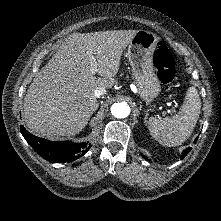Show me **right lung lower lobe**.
I'll use <instances>...</instances> for the list:
<instances>
[{"mask_svg": "<svg viewBox=\"0 0 221 221\" xmlns=\"http://www.w3.org/2000/svg\"><path fill=\"white\" fill-rule=\"evenodd\" d=\"M21 133L28 144L44 159L51 163L71 162L83 156L91 147L87 143L70 141H49L36 137L20 126Z\"/></svg>", "mask_w": 221, "mask_h": 221, "instance_id": "1", "label": "right lung lower lobe"}]
</instances>
